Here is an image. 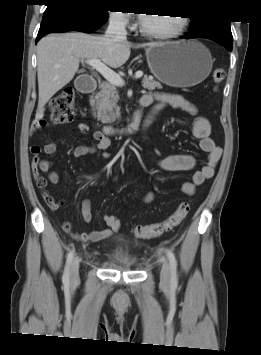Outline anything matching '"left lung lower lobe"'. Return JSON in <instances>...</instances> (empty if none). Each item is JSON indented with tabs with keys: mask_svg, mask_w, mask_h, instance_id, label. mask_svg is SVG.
I'll return each instance as SVG.
<instances>
[{
	"mask_svg": "<svg viewBox=\"0 0 261 355\" xmlns=\"http://www.w3.org/2000/svg\"><path fill=\"white\" fill-rule=\"evenodd\" d=\"M195 37H201V38H206L213 40L217 43L222 44L227 50L232 51L233 47V37L231 34V31L228 30H210L205 33H201L199 35H190L187 34L184 36V38H195Z\"/></svg>",
	"mask_w": 261,
	"mask_h": 355,
	"instance_id": "1",
	"label": "left lung lower lobe"
}]
</instances>
